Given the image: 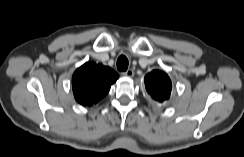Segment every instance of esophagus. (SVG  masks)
<instances>
[{"label":"esophagus","instance_id":"obj_1","mask_svg":"<svg viewBox=\"0 0 244 157\" xmlns=\"http://www.w3.org/2000/svg\"><path fill=\"white\" fill-rule=\"evenodd\" d=\"M122 75L125 76V77H133L134 76V71L132 69H128L127 71L125 72H122Z\"/></svg>","mask_w":244,"mask_h":157}]
</instances>
